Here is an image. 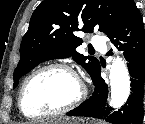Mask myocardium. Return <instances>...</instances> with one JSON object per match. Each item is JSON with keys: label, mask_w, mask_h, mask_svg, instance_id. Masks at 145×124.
Masks as SVG:
<instances>
[{"label": "myocardium", "mask_w": 145, "mask_h": 124, "mask_svg": "<svg viewBox=\"0 0 145 124\" xmlns=\"http://www.w3.org/2000/svg\"><path fill=\"white\" fill-rule=\"evenodd\" d=\"M52 69H60V70L66 71L75 77V79L78 81V83L80 85V92H79L78 96L73 101H71L69 104H67L66 106H64L58 110H54V111L46 112V113H39V114L26 113V111L24 109V96H25V92H26L28 86L40 73L47 71V70H52ZM86 96H87V87H86L85 83L83 82V80L81 79V77L79 76V74L71 66H69L65 63L56 62V63H50V64H46V65L39 67L38 69H36L34 72H32L27 77V79L21 86V89L18 94V106L24 117H26L28 119H44V118H50V117L63 115V114L70 112L71 110L76 108L78 105H80L84 101Z\"/></svg>", "instance_id": "f54148a6"}]
</instances>
